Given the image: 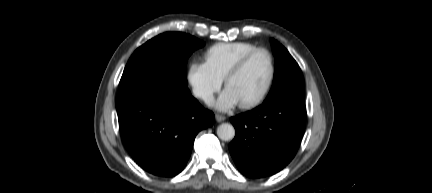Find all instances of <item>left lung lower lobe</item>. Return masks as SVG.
Masks as SVG:
<instances>
[{"instance_id":"obj_1","label":"left lung lower lobe","mask_w":432,"mask_h":193,"mask_svg":"<svg viewBox=\"0 0 432 193\" xmlns=\"http://www.w3.org/2000/svg\"><path fill=\"white\" fill-rule=\"evenodd\" d=\"M306 120L297 101L272 100L232 117L236 135L229 145L239 171L250 178L273 175L295 156Z\"/></svg>"}]
</instances>
